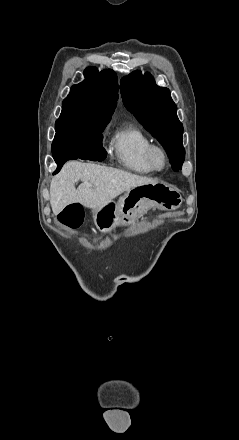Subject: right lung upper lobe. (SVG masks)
I'll list each match as a JSON object with an SVG mask.
<instances>
[{
    "label": "right lung upper lobe",
    "mask_w": 239,
    "mask_h": 440,
    "mask_svg": "<svg viewBox=\"0 0 239 440\" xmlns=\"http://www.w3.org/2000/svg\"><path fill=\"white\" fill-rule=\"evenodd\" d=\"M85 80L71 88L62 103V111L79 116H101L111 119L118 98L117 76L113 70H84Z\"/></svg>",
    "instance_id": "1"
}]
</instances>
